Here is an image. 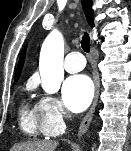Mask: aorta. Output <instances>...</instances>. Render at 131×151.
Instances as JSON below:
<instances>
[{"label": "aorta", "mask_w": 131, "mask_h": 151, "mask_svg": "<svg viewBox=\"0 0 131 151\" xmlns=\"http://www.w3.org/2000/svg\"><path fill=\"white\" fill-rule=\"evenodd\" d=\"M63 57V36L53 31L44 41L39 62L42 87L47 93H55L60 88L64 78Z\"/></svg>", "instance_id": "762f6f07"}]
</instances>
